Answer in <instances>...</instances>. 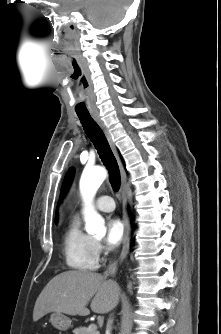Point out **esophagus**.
<instances>
[{
	"label": "esophagus",
	"mask_w": 221,
	"mask_h": 334,
	"mask_svg": "<svg viewBox=\"0 0 221 334\" xmlns=\"http://www.w3.org/2000/svg\"><path fill=\"white\" fill-rule=\"evenodd\" d=\"M93 119L97 122V124L100 126L102 131L104 132V135L118 161L119 168H120V173H121V196H122V205H123V215H122V222L124 224V238H123V247L120 255V262L124 260L126 257L128 250H129V234H130V227H129V220H128V215H127V194H126V184H127V176L126 172L124 170L123 164L121 162V159L119 157L118 151L115 147V144L112 140L111 134L108 130V128L105 126L104 122L100 118L99 115L93 114L92 115Z\"/></svg>",
	"instance_id": "34e87169"
}]
</instances>
